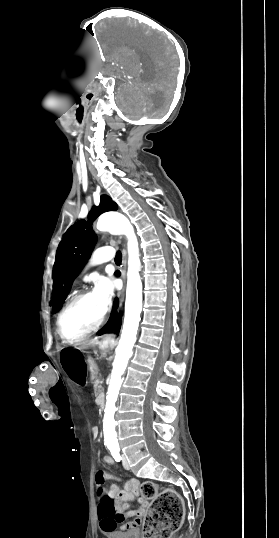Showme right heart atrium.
Instances as JSON below:
<instances>
[{"label":"right heart atrium","instance_id":"right-heart-atrium-1","mask_svg":"<svg viewBox=\"0 0 279 538\" xmlns=\"http://www.w3.org/2000/svg\"><path fill=\"white\" fill-rule=\"evenodd\" d=\"M109 233L112 234V235H117V234H118V232H117L115 229H113V228H111V229L109 230ZM55 237H56V238H59V234H58V233H55Z\"/></svg>","mask_w":279,"mask_h":538}]
</instances>
